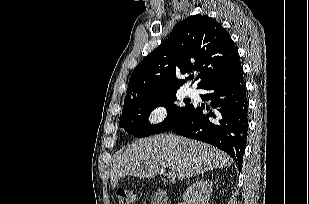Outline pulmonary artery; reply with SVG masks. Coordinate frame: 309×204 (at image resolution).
Masks as SVG:
<instances>
[{
	"mask_svg": "<svg viewBox=\"0 0 309 204\" xmlns=\"http://www.w3.org/2000/svg\"><path fill=\"white\" fill-rule=\"evenodd\" d=\"M186 94L192 96L195 94V90L193 88H188L186 89Z\"/></svg>",
	"mask_w": 309,
	"mask_h": 204,
	"instance_id": "obj_1",
	"label": "pulmonary artery"
}]
</instances>
